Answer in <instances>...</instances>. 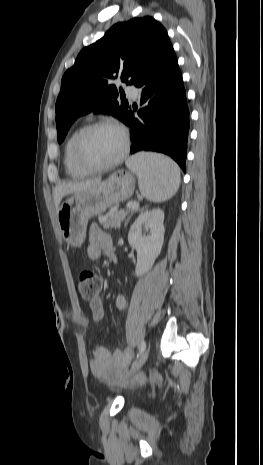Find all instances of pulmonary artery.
Listing matches in <instances>:
<instances>
[{"mask_svg":"<svg viewBox=\"0 0 263 465\" xmlns=\"http://www.w3.org/2000/svg\"><path fill=\"white\" fill-rule=\"evenodd\" d=\"M126 93L128 95V97H130L131 99H137L138 98V90L137 88L133 87V86H128L126 88Z\"/></svg>","mask_w":263,"mask_h":465,"instance_id":"e3ab8cb5","label":"pulmonary artery"}]
</instances>
